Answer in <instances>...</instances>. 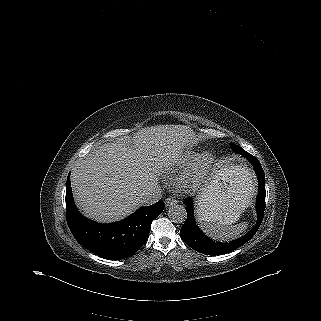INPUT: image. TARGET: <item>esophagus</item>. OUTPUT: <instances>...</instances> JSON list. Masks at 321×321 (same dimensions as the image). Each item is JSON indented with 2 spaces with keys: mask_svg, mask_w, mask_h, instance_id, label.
<instances>
[{
  "mask_svg": "<svg viewBox=\"0 0 321 321\" xmlns=\"http://www.w3.org/2000/svg\"><path fill=\"white\" fill-rule=\"evenodd\" d=\"M178 203V200L175 198V197H168L166 200H165V205L167 207L169 206H172V205H175Z\"/></svg>",
  "mask_w": 321,
  "mask_h": 321,
  "instance_id": "esophagus-1",
  "label": "esophagus"
}]
</instances>
